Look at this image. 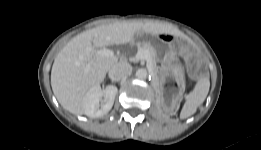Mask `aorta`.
Listing matches in <instances>:
<instances>
[{"label":"aorta","instance_id":"1","mask_svg":"<svg viewBox=\"0 0 261 150\" xmlns=\"http://www.w3.org/2000/svg\"><path fill=\"white\" fill-rule=\"evenodd\" d=\"M136 77H137L138 79H140V80L146 79V78L148 77V72H147V70H146V69H143V68L138 69V70L136 71Z\"/></svg>","mask_w":261,"mask_h":150}]
</instances>
